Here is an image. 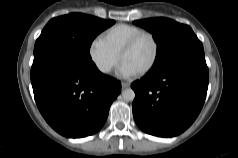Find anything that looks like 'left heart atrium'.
Here are the masks:
<instances>
[{
	"label": "left heart atrium",
	"mask_w": 238,
	"mask_h": 158,
	"mask_svg": "<svg viewBox=\"0 0 238 158\" xmlns=\"http://www.w3.org/2000/svg\"><path fill=\"white\" fill-rule=\"evenodd\" d=\"M119 73L122 76L129 77L135 75L136 73H138V71L129 66L127 63L122 62L119 68Z\"/></svg>",
	"instance_id": "left-heart-atrium-1"
}]
</instances>
